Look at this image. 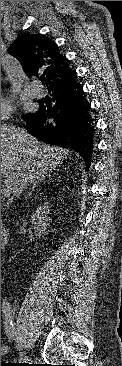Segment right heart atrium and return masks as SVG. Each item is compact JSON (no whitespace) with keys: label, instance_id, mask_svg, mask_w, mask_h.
I'll return each instance as SVG.
<instances>
[{"label":"right heart atrium","instance_id":"d8ad5b80","mask_svg":"<svg viewBox=\"0 0 122 366\" xmlns=\"http://www.w3.org/2000/svg\"><path fill=\"white\" fill-rule=\"evenodd\" d=\"M13 113V105L10 99L1 94V122L8 119Z\"/></svg>","mask_w":122,"mask_h":366}]
</instances>
